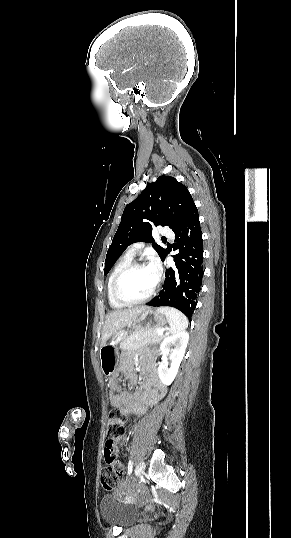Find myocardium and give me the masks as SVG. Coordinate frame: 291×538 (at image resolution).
<instances>
[{"instance_id": "obj_1", "label": "myocardium", "mask_w": 291, "mask_h": 538, "mask_svg": "<svg viewBox=\"0 0 291 538\" xmlns=\"http://www.w3.org/2000/svg\"><path fill=\"white\" fill-rule=\"evenodd\" d=\"M139 268H147V265L145 263H142V262H131L129 265H127L125 268H123L118 274L117 276L115 277L114 281H113V286H112V293H113V297L114 299L119 302L120 304H123V305H136V304H141V303H144L148 300H150L154 294L156 293L158 287H159V277L156 279L155 281V284L153 286V288L151 289V291L144 297L142 298H139V299H127V298H124L121 293H120V283L122 281V279L127 275L129 274L130 272L136 270V269H139Z\"/></svg>"}]
</instances>
